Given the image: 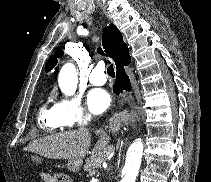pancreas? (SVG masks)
Listing matches in <instances>:
<instances>
[{"label": "pancreas", "mask_w": 211, "mask_h": 182, "mask_svg": "<svg viewBox=\"0 0 211 182\" xmlns=\"http://www.w3.org/2000/svg\"><path fill=\"white\" fill-rule=\"evenodd\" d=\"M112 150V148H108L101 152L95 153L91 155L88 159H86V164L84 165V171L88 172L91 175V172L94 169L100 167L101 163L107 159L108 153Z\"/></svg>", "instance_id": "obj_1"}]
</instances>
